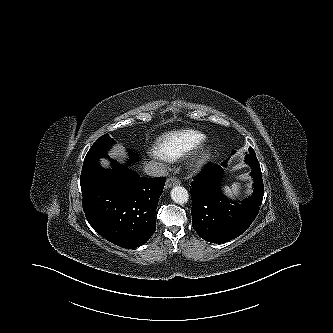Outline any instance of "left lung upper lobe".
<instances>
[{
  "mask_svg": "<svg viewBox=\"0 0 333 333\" xmlns=\"http://www.w3.org/2000/svg\"><path fill=\"white\" fill-rule=\"evenodd\" d=\"M249 153H252V154H255L254 150L252 149V147L249 148L248 150ZM234 153V152H233ZM249 165L252 167V170H255V171H259L261 172V169H260V165H259V162L258 160L257 161H253L252 163H249Z\"/></svg>",
  "mask_w": 333,
  "mask_h": 333,
  "instance_id": "left-lung-upper-lobe-1",
  "label": "left lung upper lobe"
}]
</instances>
